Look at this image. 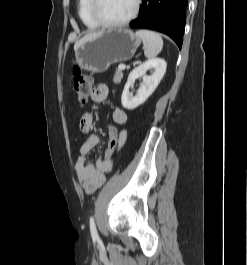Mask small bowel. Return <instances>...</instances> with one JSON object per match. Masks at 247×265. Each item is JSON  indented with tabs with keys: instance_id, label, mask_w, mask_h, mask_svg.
<instances>
[{
	"instance_id": "obj_1",
	"label": "small bowel",
	"mask_w": 247,
	"mask_h": 265,
	"mask_svg": "<svg viewBox=\"0 0 247 265\" xmlns=\"http://www.w3.org/2000/svg\"><path fill=\"white\" fill-rule=\"evenodd\" d=\"M109 95V87L104 83L97 84L92 90L91 98L94 102H103ZM113 121L118 125L127 122V113L120 108H116L112 113ZM93 125V116L86 112L80 119L79 128L87 136L83 140L80 147V156L75 165L77 178L86 193H93L100 188L106 180L105 174L111 169L112 163L105 164L103 158H98L94 163L87 162V155L100 142L99 136L91 134ZM121 145L125 142L127 133L122 130L120 132Z\"/></svg>"
}]
</instances>
